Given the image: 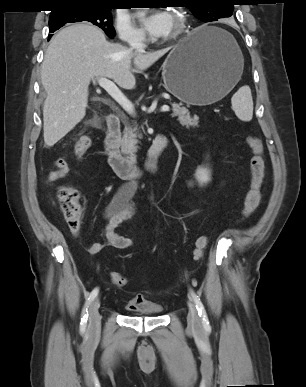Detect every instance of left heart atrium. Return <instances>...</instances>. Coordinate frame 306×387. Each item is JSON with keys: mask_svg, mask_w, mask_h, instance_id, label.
<instances>
[{"mask_svg": "<svg viewBox=\"0 0 306 387\" xmlns=\"http://www.w3.org/2000/svg\"><path fill=\"white\" fill-rule=\"evenodd\" d=\"M144 29L155 38L166 37L172 31V16L165 11H154L143 18Z\"/></svg>", "mask_w": 306, "mask_h": 387, "instance_id": "left-heart-atrium-1", "label": "left heart atrium"}]
</instances>
